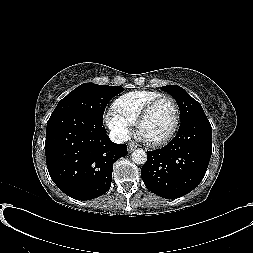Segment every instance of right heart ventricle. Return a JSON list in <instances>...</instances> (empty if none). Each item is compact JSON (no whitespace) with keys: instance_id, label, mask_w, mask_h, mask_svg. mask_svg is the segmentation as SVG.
Listing matches in <instances>:
<instances>
[{"instance_id":"obj_1","label":"right heart ventricle","mask_w":253,"mask_h":253,"mask_svg":"<svg viewBox=\"0 0 253 253\" xmlns=\"http://www.w3.org/2000/svg\"><path fill=\"white\" fill-rule=\"evenodd\" d=\"M160 96H163V94L157 91H131L115 100L114 109L130 125H135L139 115L147 104Z\"/></svg>"}]
</instances>
